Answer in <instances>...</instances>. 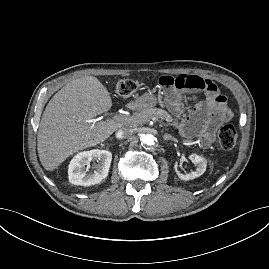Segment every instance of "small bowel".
Listing matches in <instances>:
<instances>
[{
    "instance_id": "obj_1",
    "label": "small bowel",
    "mask_w": 269,
    "mask_h": 269,
    "mask_svg": "<svg viewBox=\"0 0 269 269\" xmlns=\"http://www.w3.org/2000/svg\"><path fill=\"white\" fill-rule=\"evenodd\" d=\"M149 85L165 92L188 89L203 90L206 93L205 100L197 103L191 113L179 123L180 132L187 137L195 138L202 148L211 145L217 128L232 117L226 97L219 93L211 78L158 74L149 80ZM167 103L173 113L181 112L182 104L176 93L169 96Z\"/></svg>"
}]
</instances>
